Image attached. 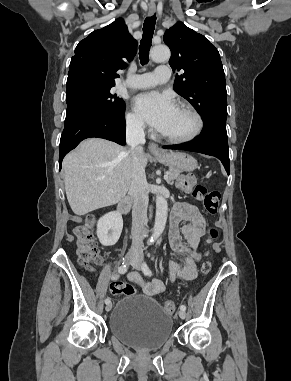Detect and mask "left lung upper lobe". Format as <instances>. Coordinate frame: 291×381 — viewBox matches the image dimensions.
<instances>
[{
	"instance_id": "left-lung-upper-lobe-1",
	"label": "left lung upper lobe",
	"mask_w": 291,
	"mask_h": 381,
	"mask_svg": "<svg viewBox=\"0 0 291 381\" xmlns=\"http://www.w3.org/2000/svg\"><path fill=\"white\" fill-rule=\"evenodd\" d=\"M163 39L171 50L170 66L184 71L176 76L174 90L195 107L204 124L226 123V82L218 50L182 22L167 30Z\"/></svg>"
}]
</instances>
